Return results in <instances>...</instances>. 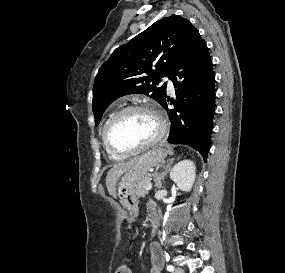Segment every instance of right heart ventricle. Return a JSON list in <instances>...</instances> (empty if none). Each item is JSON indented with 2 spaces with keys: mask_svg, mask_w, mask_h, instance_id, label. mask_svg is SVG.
<instances>
[{
  "mask_svg": "<svg viewBox=\"0 0 285 273\" xmlns=\"http://www.w3.org/2000/svg\"><path fill=\"white\" fill-rule=\"evenodd\" d=\"M112 115H113V113H109V114L106 116V118H105V120H104V122H103L102 129H101L102 144H103V147H104L105 151L107 152V154H108L110 157H112V158H114V159H123V158H124L123 155H120V154H117V153L111 151V150L107 147V145L105 144V141H104V129H105V126H106L108 120L110 119V117H111Z\"/></svg>",
  "mask_w": 285,
  "mask_h": 273,
  "instance_id": "e07e8e85",
  "label": "right heart ventricle"
}]
</instances>
